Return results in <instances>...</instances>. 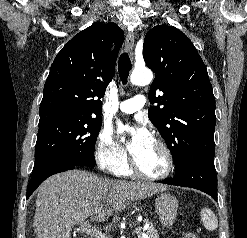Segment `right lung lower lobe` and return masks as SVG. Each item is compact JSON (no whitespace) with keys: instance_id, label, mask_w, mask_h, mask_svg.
I'll return each instance as SVG.
<instances>
[{"instance_id":"obj_1","label":"right lung lower lobe","mask_w":247,"mask_h":238,"mask_svg":"<svg viewBox=\"0 0 247 238\" xmlns=\"http://www.w3.org/2000/svg\"><path fill=\"white\" fill-rule=\"evenodd\" d=\"M80 167L83 166H79L69 160H58L44 164L37 171L32 173L31 180L27 188L26 198L28 199L30 195L35 191V189L49 176Z\"/></svg>"}]
</instances>
